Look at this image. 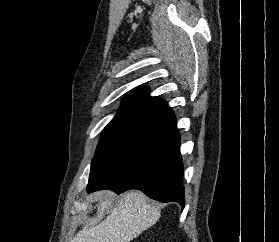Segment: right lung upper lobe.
<instances>
[{
	"label": "right lung upper lobe",
	"instance_id": "1",
	"mask_svg": "<svg viewBox=\"0 0 279 242\" xmlns=\"http://www.w3.org/2000/svg\"><path fill=\"white\" fill-rule=\"evenodd\" d=\"M172 112L169 105L162 99L149 96L148 90L139 88L126 94L119 114L141 113L162 118Z\"/></svg>",
	"mask_w": 279,
	"mask_h": 242
}]
</instances>
